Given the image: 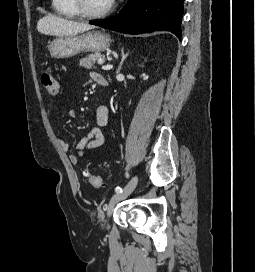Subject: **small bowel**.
I'll return each mask as SVG.
<instances>
[{"label": "small bowel", "mask_w": 255, "mask_h": 272, "mask_svg": "<svg viewBox=\"0 0 255 272\" xmlns=\"http://www.w3.org/2000/svg\"><path fill=\"white\" fill-rule=\"evenodd\" d=\"M90 78L98 84L101 80H106L100 73L97 72H92L90 74ZM68 117L74 118L75 112L70 110L68 112ZM95 117L97 127L93 128L89 133L83 136L75 145V153L69 155V160L72 164H78L88 150L98 148L105 142V136L102 128L107 126L109 122V108L105 105L98 106L95 112ZM58 143L63 151L67 152L69 150V144L64 139H59Z\"/></svg>", "instance_id": "obj_1"}]
</instances>
